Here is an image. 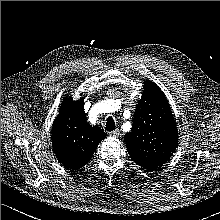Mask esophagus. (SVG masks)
<instances>
[{
    "instance_id": "34e87169",
    "label": "esophagus",
    "mask_w": 220,
    "mask_h": 220,
    "mask_svg": "<svg viewBox=\"0 0 220 220\" xmlns=\"http://www.w3.org/2000/svg\"><path fill=\"white\" fill-rule=\"evenodd\" d=\"M108 134L112 137H118L120 134V131H119V129H115L113 131H109Z\"/></svg>"
}]
</instances>
